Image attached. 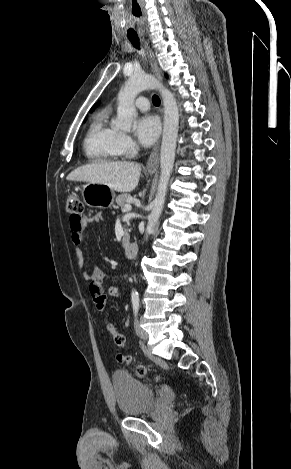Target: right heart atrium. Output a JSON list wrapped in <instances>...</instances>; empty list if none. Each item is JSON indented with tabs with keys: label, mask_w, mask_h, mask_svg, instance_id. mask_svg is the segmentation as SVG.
Instances as JSON below:
<instances>
[{
	"label": "right heart atrium",
	"mask_w": 291,
	"mask_h": 469,
	"mask_svg": "<svg viewBox=\"0 0 291 469\" xmlns=\"http://www.w3.org/2000/svg\"><path fill=\"white\" fill-rule=\"evenodd\" d=\"M119 145L122 153L125 154L131 153L135 149V143L133 139L125 133H120Z\"/></svg>",
	"instance_id": "right-heart-atrium-1"
}]
</instances>
